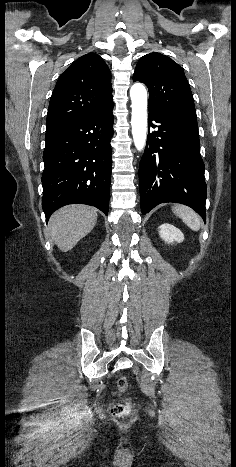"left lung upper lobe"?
<instances>
[{
	"label": "left lung upper lobe",
	"mask_w": 236,
	"mask_h": 467,
	"mask_svg": "<svg viewBox=\"0 0 236 467\" xmlns=\"http://www.w3.org/2000/svg\"><path fill=\"white\" fill-rule=\"evenodd\" d=\"M134 81L149 90L150 109L166 112H194V100L183 69L160 53L143 56L137 63Z\"/></svg>",
	"instance_id": "left-lung-upper-lobe-1"
}]
</instances>
